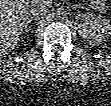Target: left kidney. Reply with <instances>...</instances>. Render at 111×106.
Listing matches in <instances>:
<instances>
[{
    "label": "left kidney",
    "instance_id": "obj_1",
    "mask_svg": "<svg viewBox=\"0 0 111 106\" xmlns=\"http://www.w3.org/2000/svg\"><path fill=\"white\" fill-rule=\"evenodd\" d=\"M79 35L91 45L105 42L111 35L110 21L104 16L82 13L76 17Z\"/></svg>",
    "mask_w": 111,
    "mask_h": 106
}]
</instances>
